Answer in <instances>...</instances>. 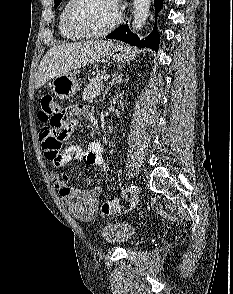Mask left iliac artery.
Returning a JSON list of instances; mask_svg holds the SVG:
<instances>
[{
    "label": "left iliac artery",
    "instance_id": "1",
    "mask_svg": "<svg viewBox=\"0 0 233 294\" xmlns=\"http://www.w3.org/2000/svg\"><path fill=\"white\" fill-rule=\"evenodd\" d=\"M129 192H132V193H136V192H139V188L136 187V186H131L130 188L127 189Z\"/></svg>",
    "mask_w": 233,
    "mask_h": 294
}]
</instances>
